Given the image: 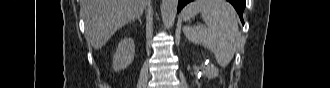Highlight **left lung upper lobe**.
I'll use <instances>...</instances> for the list:
<instances>
[{
	"label": "left lung upper lobe",
	"instance_id": "5c2ea615",
	"mask_svg": "<svg viewBox=\"0 0 330 88\" xmlns=\"http://www.w3.org/2000/svg\"><path fill=\"white\" fill-rule=\"evenodd\" d=\"M242 6H243V8L245 7V0L243 1Z\"/></svg>",
	"mask_w": 330,
	"mask_h": 88
}]
</instances>
